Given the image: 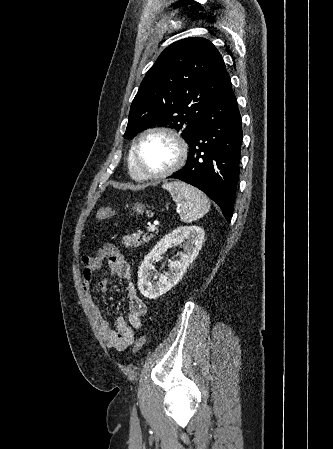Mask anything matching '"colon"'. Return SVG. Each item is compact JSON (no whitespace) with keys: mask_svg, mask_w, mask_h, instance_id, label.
Returning <instances> with one entry per match:
<instances>
[{"mask_svg":"<svg viewBox=\"0 0 333 449\" xmlns=\"http://www.w3.org/2000/svg\"><path fill=\"white\" fill-rule=\"evenodd\" d=\"M113 215L114 211L110 207H102L98 209V211L96 212L95 218L99 221H103L111 218ZM146 341L147 337L145 335L138 338L133 345V352L134 353L140 352L143 346L145 345Z\"/></svg>","mask_w":333,"mask_h":449,"instance_id":"colon-1","label":"colon"}]
</instances>
